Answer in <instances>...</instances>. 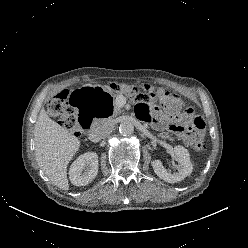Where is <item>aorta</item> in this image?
<instances>
[{"label":"aorta","mask_w":248,"mask_h":248,"mask_svg":"<svg viewBox=\"0 0 248 248\" xmlns=\"http://www.w3.org/2000/svg\"><path fill=\"white\" fill-rule=\"evenodd\" d=\"M119 132L123 136H129L134 132V125L130 121H123L119 126Z\"/></svg>","instance_id":"obj_1"}]
</instances>
